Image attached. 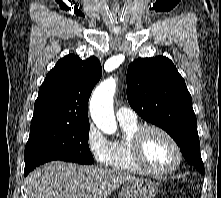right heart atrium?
<instances>
[{
	"label": "right heart atrium",
	"mask_w": 221,
	"mask_h": 198,
	"mask_svg": "<svg viewBox=\"0 0 221 198\" xmlns=\"http://www.w3.org/2000/svg\"><path fill=\"white\" fill-rule=\"evenodd\" d=\"M86 145L95 162L100 165L109 164L111 142L93 123L87 128Z\"/></svg>",
	"instance_id": "1"
}]
</instances>
